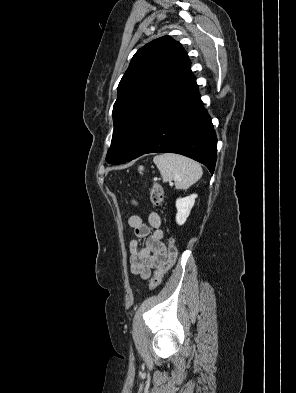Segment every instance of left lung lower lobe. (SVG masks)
Listing matches in <instances>:
<instances>
[{
  "label": "left lung lower lobe",
  "instance_id": "1",
  "mask_svg": "<svg viewBox=\"0 0 296 393\" xmlns=\"http://www.w3.org/2000/svg\"><path fill=\"white\" fill-rule=\"evenodd\" d=\"M167 152L190 157L214 172L217 138L195 78L154 120L127 161L147 153Z\"/></svg>",
  "mask_w": 296,
  "mask_h": 393
}]
</instances>
